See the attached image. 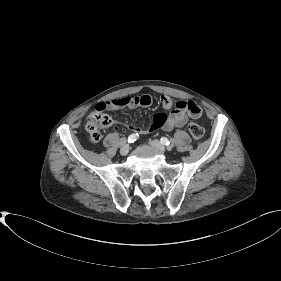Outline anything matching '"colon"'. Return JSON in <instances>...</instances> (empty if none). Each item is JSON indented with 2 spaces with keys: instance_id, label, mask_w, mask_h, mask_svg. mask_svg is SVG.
<instances>
[{
  "instance_id": "colon-1",
  "label": "colon",
  "mask_w": 281,
  "mask_h": 281,
  "mask_svg": "<svg viewBox=\"0 0 281 281\" xmlns=\"http://www.w3.org/2000/svg\"><path fill=\"white\" fill-rule=\"evenodd\" d=\"M191 110L198 112L197 109L192 108ZM112 125V118L105 113L104 110L96 109L92 111L86 123V130L89 134L90 141L93 143H98L102 138V131L110 128ZM188 129L194 140L199 141L202 139L204 130L199 124L191 122L188 125Z\"/></svg>"
}]
</instances>
